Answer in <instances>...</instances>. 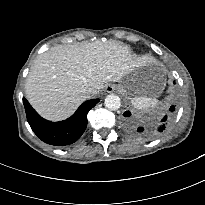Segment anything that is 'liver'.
Here are the masks:
<instances>
[{
    "label": "liver",
    "instance_id": "1",
    "mask_svg": "<svg viewBox=\"0 0 205 205\" xmlns=\"http://www.w3.org/2000/svg\"><path fill=\"white\" fill-rule=\"evenodd\" d=\"M139 64L132 62L127 46L114 40L54 46L31 66L26 97L42 117L63 120L105 83L119 82Z\"/></svg>",
    "mask_w": 205,
    "mask_h": 205
}]
</instances>
